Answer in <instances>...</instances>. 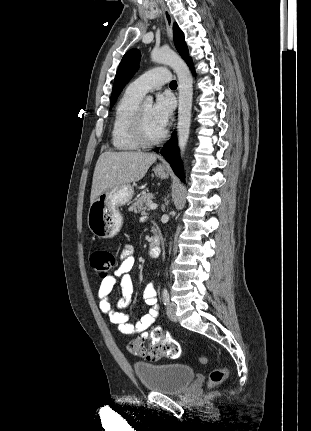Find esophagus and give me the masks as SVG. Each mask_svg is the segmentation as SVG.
<instances>
[{
	"instance_id": "34e87169",
	"label": "esophagus",
	"mask_w": 311,
	"mask_h": 431,
	"mask_svg": "<svg viewBox=\"0 0 311 431\" xmlns=\"http://www.w3.org/2000/svg\"><path fill=\"white\" fill-rule=\"evenodd\" d=\"M161 8L166 22L167 35L170 42H172V25H173L172 15L165 5H162Z\"/></svg>"
}]
</instances>
